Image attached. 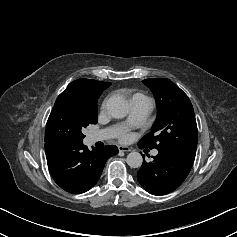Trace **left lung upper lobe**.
Returning a JSON list of instances; mask_svg holds the SVG:
<instances>
[{"instance_id":"5c2ea615","label":"left lung upper lobe","mask_w":237,"mask_h":237,"mask_svg":"<svg viewBox=\"0 0 237 237\" xmlns=\"http://www.w3.org/2000/svg\"><path fill=\"white\" fill-rule=\"evenodd\" d=\"M143 83L154 94L158 115L151 133L145 135L139 145L195 156L198 132L188 96L169 79H146Z\"/></svg>"}]
</instances>
